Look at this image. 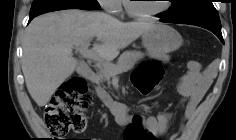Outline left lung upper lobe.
I'll return each instance as SVG.
<instances>
[{
  "mask_svg": "<svg viewBox=\"0 0 236 140\" xmlns=\"http://www.w3.org/2000/svg\"><path fill=\"white\" fill-rule=\"evenodd\" d=\"M171 2L172 7L163 13L170 22L221 28L220 18L212 0H172Z\"/></svg>",
  "mask_w": 236,
  "mask_h": 140,
  "instance_id": "5c2ea615",
  "label": "left lung upper lobe"
}]
</instances>
